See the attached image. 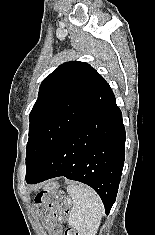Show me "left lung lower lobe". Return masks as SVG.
<instances>
[{"mask_svg": "<svg viewBox=\"0 0 155 235\" xmlns=\"http://www.w3.org/2000/svg\"><path fill=\"white\" fill-rule=\"evenodd\" d=\"M122 114L110 86L90 112L61 140L28 184L65 176L92 187L106 214L115 202L125 157Z\"/></svg>", "mask_w": 155, "mask_h": 235, "instance_id": "obj_1", "label": "left lung lower lobe"}]
</instances>
